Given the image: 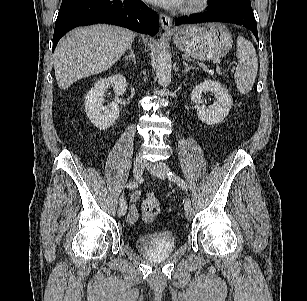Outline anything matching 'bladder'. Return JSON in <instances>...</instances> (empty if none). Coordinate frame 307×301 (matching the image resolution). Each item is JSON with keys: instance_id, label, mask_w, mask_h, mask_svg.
I'll return each instance as SVG.
<instances>
[{"instance_id": "obj_1", "label": "bladder", "mask_w": 307, "mask_h": 301, "mask_svg": "<svg viewBox=\"0 0 307 301\" xmlns=\"http://www.w3.org/2000/svg\"><path fill=\"white\" fill-rule=\"evenodd\" d=\"M140 250L150 259L168 256L175 248V241L168 233L155 232L140 237L137 241Z\"/></svg>"}]
</instances>
